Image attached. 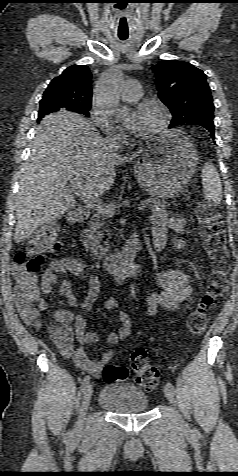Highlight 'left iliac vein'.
Instances as JSON below:
<instances>
[{
    "label": "left iliac vein",
    "mask_w": 238,
    "mask_h": 476,
    "mask_svg": "<svg viewBox=\"0 0 238 476\" xmlns=\"http://www.w3.org/2000/svg\"><path fill=\"white\" fill-rule=\"evenodd\" d=\"M164 395L167 398V400L174 406H176V400L174 396V392L171 390V388L168 385L164 386ZM179 421L183 423L182 417L178 414Z\"/></svg>",
    "instance_id": "left-iliac-vein-1"
}]
</instances>
